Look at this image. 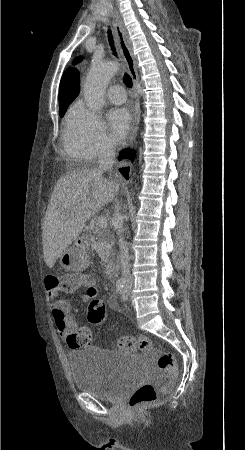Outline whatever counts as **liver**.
Wrapping results in <instances>:
<instances>
[{
	"label": "liver",
	"mask_w": 245,
	"mask_h": 450,
	"mask_svg": "<svg viewBox=\"0 0 245 450\" xmlns=\"http://www.w3.org/2000/svg\"><path fill=\"white\" fill-rule=\"evenodd\" d=\"M118 185L96 169H77L55 184L42 224L44 260H56L82 232L85 222L112 201Z\"/></svg>",
	"instance_id": "1"
}]
</instances>
